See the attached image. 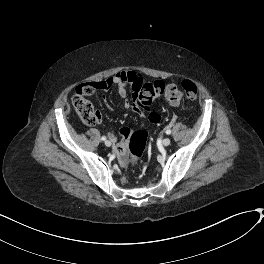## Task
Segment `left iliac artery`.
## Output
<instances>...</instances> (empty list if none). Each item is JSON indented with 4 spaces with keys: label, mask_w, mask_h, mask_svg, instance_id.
Returning a JSON list of instances; mask_svg holds the SVG:
<instances>
[{
    "label": "left iliac artery",
    "mask_w": 264,
    "mask_h": 264,
    "mask_svg": "<svg viewBox=\"0 0 264 264\" xmlns=\"http://www.w3.org/2000/svg\"><path fill=\"white\" fill-rule=\"evenodd\" d=\"M166 134H171V130L170 129H168V130H166Z\"/></svg>",
    "instance_id": "44dca946"
}]
</instances>
